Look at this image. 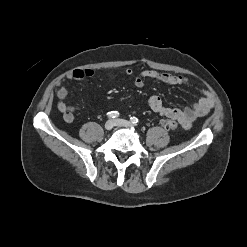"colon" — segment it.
Listing matches in <instances>:
<instances>
[{
    "label": "colon",
    "instance_id": "5ec220e1",
    "mask_svg": "<svg viewBox=\"0 0 247 247\" xmlns=\"http://www.w3.org/2000/svg\"><path fill=\"white\" fill-rule=\"evenodd\" d=\"M161 125L166 129L172 130L178 127V122L172 119H164L161 121Z\"/></svg>",
    "mask_w": 247,
    "mask_h": 247
}]
</instances>
